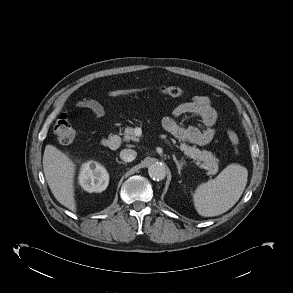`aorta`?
<instances>
[{"label": "aorta", "instance_id": "762f6f07", "mask_svg": "<svg viewBox=\"0 0 293 293\" xmlns=\"http://www.w3.org/2000/svg\"><path fill=\"white\" fill-rule=\"evenodd\" d=\"M149 176L156 181L163 180L166 176L165 166L161 163H153L148 168Z\"/></svg>", "mask_w": 293, "mask_h": 293}]
</instances>
